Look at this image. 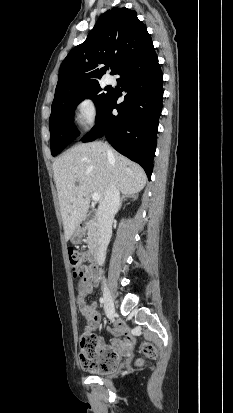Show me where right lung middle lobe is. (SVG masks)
I'll return each instance as SVG.
<instances>
[{
	"instance_id": "right-lung-middle-lobe-1",
	"label": "right lung middle lobe",
	"mask_w": 233,
	"mask_h": 413,
	"mask_svg": "<svg viewBox=\"0 0 233 413\" xmlns=\"http://www.w3.org/2000/svg\"><path fill=\"white\" fill-rule=\"evenodd\" d=\"M101 91L102 88L97 83L52 104L49 129L51 134V154L53 156L60 153L79 135V131L73 123V116L76 106L83 99H92L97 106V116L100 114L112 94L109 90L106 94L101 93Z\"/></svg>"
}]
</instances>
